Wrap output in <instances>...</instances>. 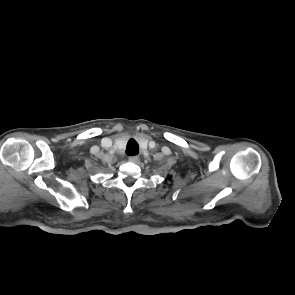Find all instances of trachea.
<instances>
[{
  "label": "trachea",
  "mask_w": 295,
  "mask_h": 295,
  "mask_svg": "<svg viewBox=\"0 0 295 295\" xmlns=\"http://www.w3.org/2000/svg\"><path fill=\"white\" fill-rule=\"evenodd\" d=\"M138 152H139L138 143L135 140L131 139L127 144L126 154L129 156H134V155H137Z\"/></svg>",
  "instance_id": "trachea-1"
}]
</instances>
